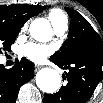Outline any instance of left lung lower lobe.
I'll return each instance as SVG.
<instances>
[{
  "instance_id": "1",
  "label": "left lung lower lobe",
  "mask_w": 103,
  "mask_h": 103,
  "mask_svg": "<svg viewBox=\"0 0 103 103\" xmlns=\"http://www.w3.org/2000/svg\"><path fill=\"white\" fill-rule=\"evenodd\" d=\"M88 56L76 55L67 62L50 58L66 73L67 85L57 93L45 94L44 103H86L102 79L103 48L101 43H89ZM65 78V76H64Z\"/></svg>"
}]
</instances>
